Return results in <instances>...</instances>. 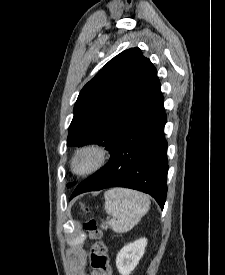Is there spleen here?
Wrapping results in <instances>:
<instances>
[{"mask_svg":"<svg viewBox=\"0 0 225 275\" xmlns=\"http://www.w3.org/2000/svg\"><path fill=\"white\" fill-rule=\"evenodd\" d=\"M104 209L112 219L103 222L101 228L110 227L116 233L130 231L148 212L150 200L143 193L127 188H113L105 192Z\"/></svg>","mask_w":225,"mask_h":275,"instance_id":"spleen-1","label":"spleen"}]
</instances>
